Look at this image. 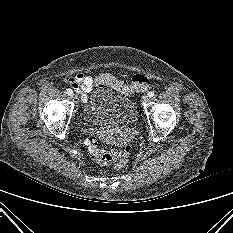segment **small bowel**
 <instances>
[{
    "label": "small bowel",
    "mask_w": 233,
    "mask_h": 233,
    "mask_svg": "<svg viewBox=\"0 0 233 233\" xmlns=\"http://www.w3.org/2000/svg\"><path fill=\"white\" fill-rule=\"evenodd\" d=\"M69 82L72 87L80 94L81 98L86 101L87 94L93 87L92 77L84 73H77L70 77Z\"/></svg>",
    "instance_id": "1"
}]
</instances>
